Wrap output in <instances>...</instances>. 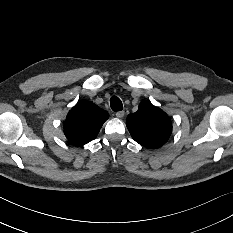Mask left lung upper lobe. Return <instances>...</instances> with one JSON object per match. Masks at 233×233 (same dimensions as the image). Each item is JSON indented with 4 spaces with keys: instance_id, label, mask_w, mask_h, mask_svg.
<instances>
[{
    "instance_id": "1",
    "label": "left lung upper lobe",
    "mask_w": 233,
    "mask_h": 233,
    "mask_svg": "<svg viewBox=\"0 0 233 233\" xmlns=\"http://www.w3.org/2000/svg\"><path fill=\"white\" fill-rule=\"evenodd\" d=\"M126 125L132 138L147 148L161 147L172 132L168 115L148 101L141 102L138 110L128 115Z\"/></svg>"
}]
</instances>
